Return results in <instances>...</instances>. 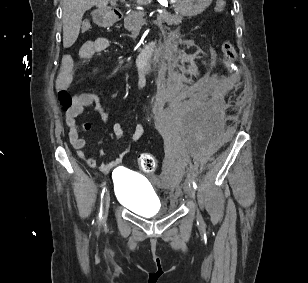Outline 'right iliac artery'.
<instances>
[{
    "label": "right iliac artery",
    "mask_w": 308,
    "mask_h": 283,
    "mask_svg": "<svg viewBox=\"0 0 308 283\" xmlns=\"http://www.w3.org/2000/svg\"><path fill=\"white\" fill-rule=\"evenodd\" d=\"M105 185V184H104ZM107 191L106 187L103 188L102 190V193H101V204H100V211H99V214H98V217H97V222L98 223H101L102 220H103V217H102V199H103V196H104V193Z\"/></svg>",
    "instance_id": "obj_1"
}]
</instances>
